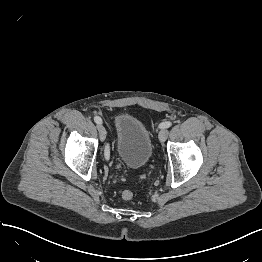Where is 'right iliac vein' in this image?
Here are the masks:
<instances>
[{"label":"right iliac vein","mask_w":262,"mask_h":262,"mask_svg":"<svg viewBox=\"0 0 262 262\" xmlns=\"http://www.w3.org/2000/svg\"><path fill=\"white\" fill-rule=\"evenodd\" d=\"M98 132H99V136H100V140L104 141L106 138V129L103 125L99 124L98 125Z\"/></svg>","instance_id":"1"}]
</instances>
